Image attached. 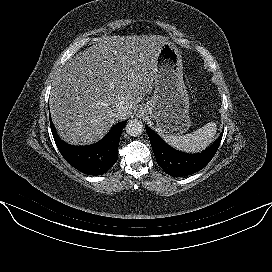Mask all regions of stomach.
Masks as SVG:
<instances>
[{
  "mask_svg": "<svg viewBox=\"0 0 272 272\" xmlns=\"http://www.w3.org/2000/svg\"><path fill=\"white\" fill-rule=\"evenodd\" d=\"M157 61L155 92L142 106L141 112L156 122L163 136L184 133L191 121L181 53L174 43L168 41L162 46Z\"/></svg>",
  "mask_w": 272,
  "mask_h": 272,
  "instance_id": "1",
  "label": "stomach"
}]
</instances>
